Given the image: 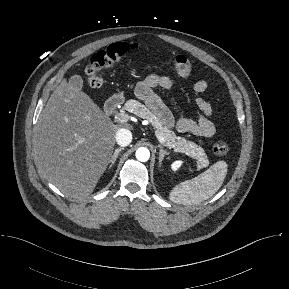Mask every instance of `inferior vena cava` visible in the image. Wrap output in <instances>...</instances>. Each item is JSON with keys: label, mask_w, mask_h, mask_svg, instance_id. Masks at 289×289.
<instances>
[{"label": "inferior vena cava", "mask_w": 289, "mask_h": 289, "mask_svg": "<svg viewBox=\"0 0 289 289\" xmlns=\"http://www.w3.org/2000/svg\"><path fill=\"white\" fill-rule=\"evenodd\" d=\"M132 141V133L130 130L122 128L116 132V142L119 146H128Z\"/></svg>", "instance_id": "obj_1"}]
</instances>
